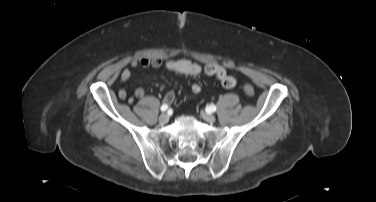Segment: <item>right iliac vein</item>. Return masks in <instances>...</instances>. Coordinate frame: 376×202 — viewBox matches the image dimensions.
Listing matches in <instances>:
<instances>
[{
	"instance_id": "1",
	"label": "right iliac vein",
	"mask_w": 376,
	"mask_h": 202,
	"mask_svg": "<svg viewBox=\"0 0 376 202\" xmlns=\"http://www.w3.org/2000/svg\"><path fill=\"white\" fill-rule=\"evenodd\" d=\"M169 120V116L167 113H162L160 116H159V122L162 123V124H165L167 123Z\"/></svg>"
}]
</instances>
